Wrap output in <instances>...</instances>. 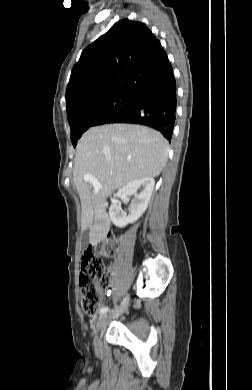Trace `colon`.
Wrapping results in <instances>:
<instances>
[{
  "instance_id": "5ec220e1",
  "label": "colon",
  "mask_w": 252,
  "mask_h": 390,
  "mask_svg": "<svg viewBox=\"0 0 252 390\" xmlns=\"http://www.w3.org/2000/svg\"><path fill=\"white\" fill-rule=\"evenodd\" d=\"M117 245V237L111 234L82 256L79 284L82 292V309L88 316L96 317L101 310V291L108 281L103 259L113 256Z\"/></svg>"
}]
</instances>
